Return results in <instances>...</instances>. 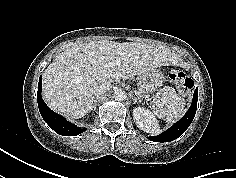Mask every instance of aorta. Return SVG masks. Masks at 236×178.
<instances>
[{"label":"aorta","mask_w":236,"mask_h":178,"mask_svg":"<svg viewBox=\"0 0 236 178\" xmlns=\"http://www.w3.org/2000/svg\"><path fill=\"white\" fill-rule=\"evenodd\" d=\"M113 97L118 101H122L126 98V93L122 89H116L114 91V96Z\"/></svg>","instance_id":"aorta-1"}]
</instances>
